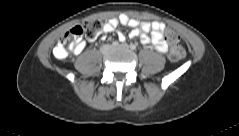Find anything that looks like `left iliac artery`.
I'll use <instances>...</instances> for the list:
<instances>
[{
  "instance_id": "1",
  "label": "left iliac artery",
  "mask_w": 239,
  "mask_h": 136,
  "mask_svg": "<svg viewBox=\"0 0 239 136\" xmlns=\"http://www.w3.org/2000/svg\"><path fill=\"white\" fill-rule=\"evenodd\" d=\"M130 48H131V49H136V46H135L134 44H131V45H130Z\"/></svg>"
}]
</instances>
